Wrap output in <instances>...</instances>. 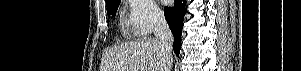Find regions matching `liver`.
Returning <instances> with one entry per match:
<instances>
[{
	"instance_id": "1",
	"label": "liver",
	"mask_w": 301,
	"mask_h": 71,
	"mask_svg": "<svg viewBox=\"0 0 301 71\" xmlns=\"http://www.w3.org/2000/svg\"><path fill=\"white\" fill-rule=\"evenodd\" d=\"M164 55L155 38H140L103 55L101 71H162Z\"/></svg>"
}]
</instances>
